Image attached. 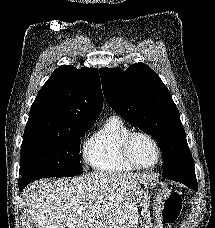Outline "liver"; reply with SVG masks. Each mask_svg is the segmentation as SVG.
<instances>
[{"instance_id": "liver-1", "label": "liver", "mask_w": 215, "mask_h": 228, "mask_svg": "<svg viewBox=\"0 0 215 228\" xmlns=\"http://www.w3.org/2000/svg\"><path fill=\"white\" fill-rule=\"evenodd\" d=\"M147 174L94 172L37 180L24 190L33 224L41 228H138L137 190Z\"/></svg>"}]
</instances>
